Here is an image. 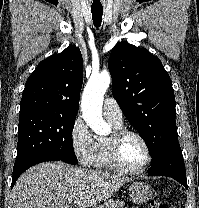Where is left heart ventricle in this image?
<instances>
[{
	"label": "left heart ventricle",
	"mask_w": 199,
	"mask_h": 208,
	"mask_svg": "<svg viewBox=\"0 0 199 208\" xmlns=\"http://www.w3.org/2000/svg\"><path fill=\"white\" fill-rule=\"evenodd\" d=\"M120 158L123 164L131 169L138 168L146 159V151L139 139L126 136L120 143Z\"/></svg>",
	"instance_id": "b2bd125f"
}]
</instances>
